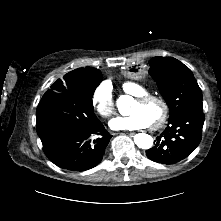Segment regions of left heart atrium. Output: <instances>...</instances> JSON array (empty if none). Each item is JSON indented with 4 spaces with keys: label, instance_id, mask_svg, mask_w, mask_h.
<instances>
[{
    "label": "left heart atrium",
    "instance_id": "obj_1",
    "mask_svg": "<svg viewBox=\"0 0 221 221\" xmlns=\"http://www.w3.org/2000/svg\"><path fill=\"white\" fill-rule=\"evenodd\" d=\"M109 125L113 130H137L150 126L146 117L141 113H131L128 116L114 118Z\"/></svg>",
    "mask_w": 221,
    "mask_h": 221
}]
</instances>
